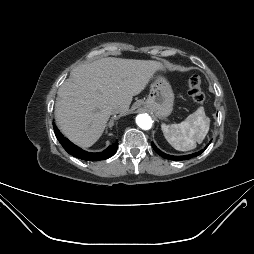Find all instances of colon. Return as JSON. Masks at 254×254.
<instances>
[{"label":"colon","instance_id":"colon-1","mask_svg":"<svg viewBox=\"0 0 254 254\" xmlns=\"http://www.w3.org/2000/svg\"><path fill=\"white\" fill-rule=\"evenodd\" d=\"M188 92L190 97L196 103H203L205 94L202 91V82L199 76L194 75L188 81Z\"/></svg>","mask_w":254,"mask_h":254}]
</instances>
